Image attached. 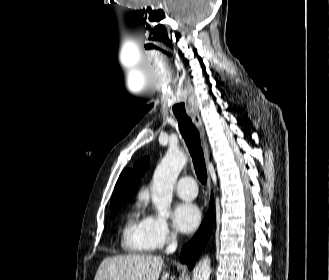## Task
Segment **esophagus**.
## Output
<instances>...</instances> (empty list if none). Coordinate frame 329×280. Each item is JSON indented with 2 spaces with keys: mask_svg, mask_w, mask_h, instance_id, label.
Listing matches in <instances>:
<instances>
[{
  "mask_svg": "<svg viewBox=\"0 0 329 280\" xmlns=\"http://www.w3.org/2000/svg\"><path fill=\"white\" fill-rule=\"evenodd\" d=\"M189 115H190L193 123L195 124V126L199 130L200 135L202 137L203 147H204V153H205V159H206V162L208 163L209 162V159H210V154H209L208 145H207V142H206V139H205V132H204V127H203L202 119H201L199 113L198 112H195V111L189 113ZM210 191H211V182H210V179H209L208 180V183H207V192H208L209 195H210Z\"/></svg>",
  "mask_w": 329,
  "mask_h": 280,
  "instance_id": "esophagus-1",
  "label": "esophagus"
}]
</instances>
